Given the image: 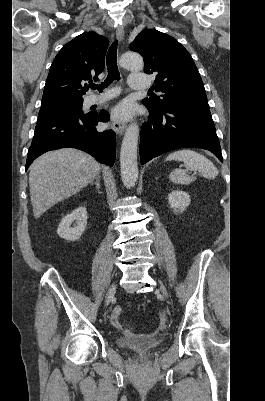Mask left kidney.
Returning <instances> with one entry per match:
<instances>
[{
    "instance_id": "1",
    "label": "left kidney",
    "mask_w": 265,
    "mask_h": 401,
    "mask_svg": "<svg viewBox=\"0 0 265 401\" xmlns=\"http://www.w3.org/2000/svg\"><path fill=\"white\" fill-rule=\"evenodd\" d=\"M168 201L171 209H174L175 213H177V211H185L186 207L191 203V198L185 190H172L168 194Z\"/></svg>"
}]
</instances>
